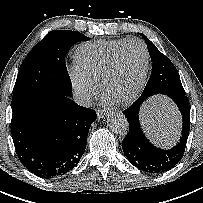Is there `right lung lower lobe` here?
<instances>
[{
	"mask_svg": "<svg viewBox=\"0 0 203 203\" xmlns=\"http://www.w3.org/2000/svg\"><path fill=\"white\" fill-rule=\"evenodd\" d=\"M96 117L65 95L46 96L13 111L11 134L20 162L45 179L68 173L84 154Z\"/></svg>",
	"mask_w": 203,
	"mask_h": 203,
	"instance_id": "obj_1",
	"label": "right lung lower lobe"
}]
</instances>
